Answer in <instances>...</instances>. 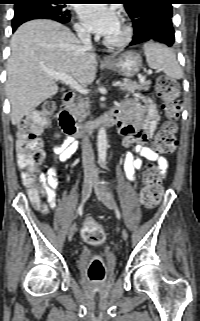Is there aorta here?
<instances>
[{"mask_svg": "<svg viewBox=\"0 0 200 321\" xmlns=\"http://www.w3.org/2000/svg\"><path fill=\"white\" fill-rule=\"evenodd\" d=\"M107 134L104 128H101L97 135L98 157L100 162H105L107 155Z\"/></svg>", "mask_w": 200, "mask_h": 321, "instance_id": "1", "label": "aorta"}]
</instances>
